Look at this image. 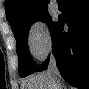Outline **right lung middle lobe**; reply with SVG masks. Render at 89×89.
Segmentation results:
<instances>
[{"label": "right lung middle lobe", "instance_id": "dd1d6c3e", "mask_svg": "<svg viewBox=\"0 0 89 89\" xmlns=\"http://www.w3.org/2000/svg\"><path fill=\"white\" fill-rule=\"evenodd\" d=\"M36 21L45 22L50 31L54 29L57 22H53L47 10L36 15L27 17L17 22L13 27V33L17 42V54L19 59V71L22 77H26L36 71L38 66L32 60L28 49V32L31 25Z\"/></svg>", "mask_w": 89, "mask_h": 89}]
</instances>
